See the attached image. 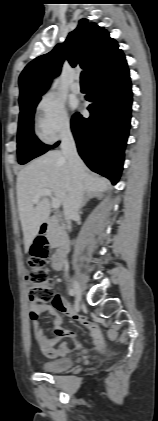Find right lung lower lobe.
<instances>
[{
  "mask_svg": "<svg viewBox=\"0 0 158 421\" xmlns=\"http://www.w3.org/2000/svg\"><path fill=\"white\" fill-rule=\"evenodd\" d=\"M88 82L90 88L86 100L91 102L88 107L90 117L84 118L76 112L71 129L79 155L87 166L116 184L122 171L132 105L131 82L124 54L111 59Z\"/></svg>",
  "mask_w": 158,
  "mask_h": 421,
  "instance_id": "98d812e1",
  "label": "right lung lower lobe"
}]
</instances>
